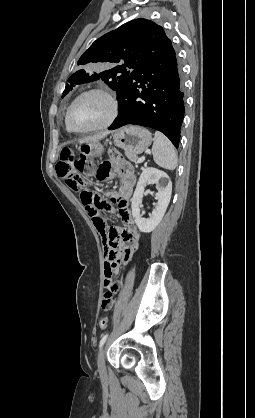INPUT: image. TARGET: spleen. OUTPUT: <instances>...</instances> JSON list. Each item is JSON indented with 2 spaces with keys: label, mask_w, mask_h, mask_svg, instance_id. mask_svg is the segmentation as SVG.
<instances>
[{
  "label": "spleen",
  "mask_w": 255,
  "mask_h": 418,
  "mask_svg": "<svg viewBox=\"0 0 255 418\" xmlns=\"http://www.w3.org/2000/svg\"><path fill=\"white\" fill-rule=\"evenodd\" d=\"M154 162L168 170L177 167V153L171 141L161 132L156 131L152 146Z\"/></svg>",
  "instance_id": "obj_1"
}]
</instances>
